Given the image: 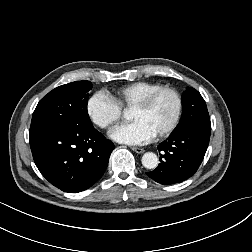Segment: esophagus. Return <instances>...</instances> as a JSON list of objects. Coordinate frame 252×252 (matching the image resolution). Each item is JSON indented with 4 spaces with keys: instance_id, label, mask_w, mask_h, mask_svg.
<instances>
[{
    "instance_id": "esophagus-1",
    "label": "esophagus",
    "mask_w": 252,
    "mask_h": 252,
    "mask_svg": "<svg viewBox=\"0 0 252 252\" xmlns=\"http://www.w3.org/2000/svg\"><path fill=\"white\" fill-rule=\"evenodd\" d=\"M131 149L136 152V153H143L144 152V149L143 148H139V147H131Z\"/></svg>"
}]
</instances>
